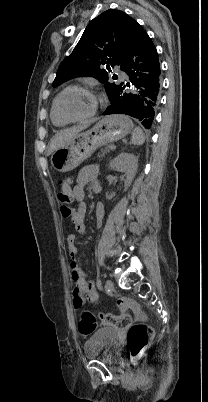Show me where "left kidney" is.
Returning <instances> with one entry per match:
<instances>
[{
  "mask_svg": "<svg viewBox=\"0 0 208 402\" xmlns=\"http://www.w3.org/2000/svg\"><path fill=\"white\" fill-rule=\"evenodd\" d=\"M138 168V158L134 154H119L117 158L111 160L109 164V170H117V172H123L126 176L125 192L131 186Z\"/></svg>",
  "mask_w": 208,
  "mask_h": 402,
  "instance_id": "left-kidney-1",
  "label": "left kidney"
}]
</instances>
